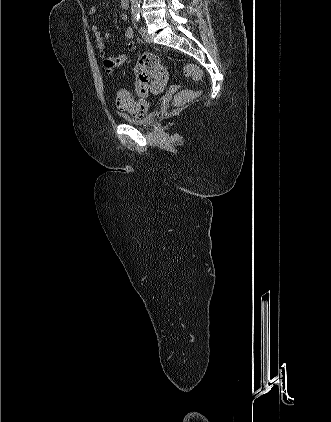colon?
Segmentation results:
<instances>
[{
    "label": "colon",
    "instance_id": "5ec220e1",
    "mask_svg": "<svg viewBox=\"0 0 331 422\" xmlns=\"http://www.w3.org/2000/svg\"><path fill=\"white\" fill-rule=\"evenodd\" d=\"M186 73L195 79L201 76L200 69L194 65L186 66ZM136 78V92L132 93L126 89H119L116 96V103L119 109L128 111L134 116H141L148 110L146 95L148 93H160L167 81V67L155 54L147 53L142 55L134 67ZM200 95L198 90H186L179 93L175 98V105L182 106Z\"/></svg>",
    "mask_w": 331,
    "mask_h": 422
}]
</instances>
